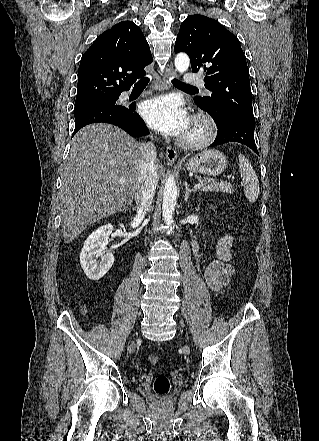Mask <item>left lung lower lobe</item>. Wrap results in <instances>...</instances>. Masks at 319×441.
I'll return each instance as SVG.
<instances>
[{
	"label": "left lung lower lobe",
	"instance_id": "1",
	"mask_svg": "<svg viewBox=\"0 0 319 441\" xmlns=\"http://www.w3.org/2000/svg\"><path fill=\"white\" fill-rule=\"evenodd\" d=\"M215 123L218 128V135L210 146L239 142L257 152L254 140L255 121L231 114L219 122L215 121Z\"/></svg>",
	"mask_w": 319,
	"mask_h": 441
}]
</instances>
